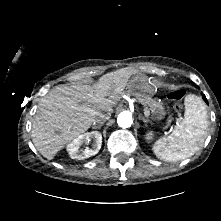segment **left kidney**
<instances>
[{
	"instance_id": "obj_1",
	"label": "left kidney",
	"mask_w": 221,
	"mask_h": 221,
	"mask_svg": "<svg viewBox=\"0 0 221 221\" xmlns=\"http://www.w3.org/2000/svg\"><path fill=\"white\" fill-rule=\"evenodd\" d=\"M146 139L147 140H151L152 139V133L149 132L147 135H146Z\"/></svg>"
}]
</instances>
